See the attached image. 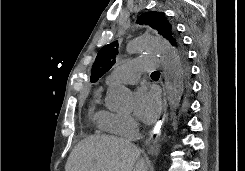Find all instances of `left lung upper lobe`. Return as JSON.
Listing matches in <instances>:
<instances>
[{
  "label": "left lung upper lobe",
  "instance_id": "5c2ea615",
  "mask_svg": "<svg viewBox=\"0 0 245 171\" xmlns=\"http://www.w3.org/2000/svg\"><path fill=\"white\" fill-rule=\"evenodd\" d=\"M138 24L151 26L160 35L167 39L175 51L179 61H187L186 53L183 49L180 39L178 38L174 27L168 22L164 12H146L137 18ZM118 54V41H114L103 46L95 59L91 70V82H97L115 63Z\"/></svg>",
  "mask_w": 245,
  "mask_h": 171
}]
</instances>
